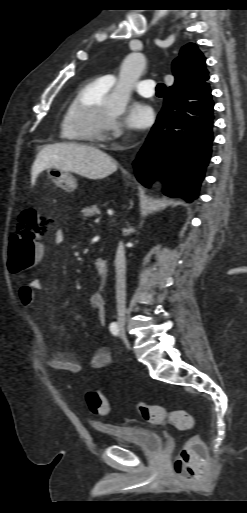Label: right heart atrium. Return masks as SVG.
I'll use <instances>...</instances> for the list:
<instances>
[{
    "instance_id": "right-heart-atrium-1",
    "label": "right heart atrium",
    "mask_w": 247,
    "mask_h": 513,
    "mask_svg": "<svg viewBox=\"0 0 247 513\" xmlns=\"http://www.w3.org/2000/svg\"><path fill=\"white\" fill-rule=\"evenodd\" d=\"M111 130H112L113 134L116 136L123 134V128L118 122L112 123Z\"/></svg>"
}]
</instances>
